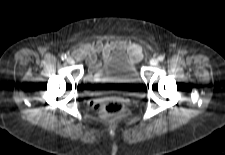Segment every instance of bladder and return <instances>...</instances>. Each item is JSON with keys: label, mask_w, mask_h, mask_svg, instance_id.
Segmentation results:
<instances>
[{"label": "bladder", "mask_w": 225, "mask_h": 155, "mask_svg": "<svg viewBox=\"0 0 225 155\" xmlns=\"http://www.w3.org/2000/svg\"><path fill=\"white\" fill-rule=\"evenodd\" d=\"M97 65L93 67L96 71ZM100 69L124 91L136 95L142 91V81L140 74L129 56L123 51H114L110 53L107 59L102 63ZM95 86L90 89H95Z\"/></svg>", "instance_id": "1"}]
</instances>
